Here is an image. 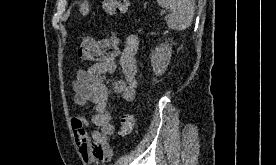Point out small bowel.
Here are the masks:
<instances>
[{"label": "small bowel", "mask_w": 276, "mask_h": 165, "mask_svg": "<svg viewBox=\"0 0 276 165\" xmlns=\"http://www.w3.org/2000/svg\"><path fill=\"white\" fill-rule=\"evenodd\" d=\"M138 49V38L133 34L128 35L118 60L123 79L112 84V91L121 95L126 102H132L136 95ZM118 64L114 59L97 62L87 69L79 70L72 82L75 104L81 107L92 104L91 120L98 127L90 137L85 130L88 121L78 114L71 117L79 153L89 164L106 162L112 154L107 138L113 133L114 126L109 110V89L104 81L107 75L116 71Z\"/></svg>", "instance_id": "c3829d8e"}]
</instances>
